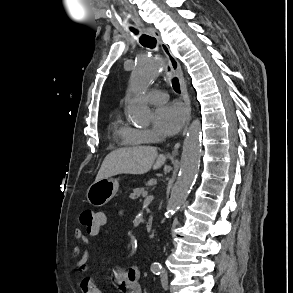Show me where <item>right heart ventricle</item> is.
Segmentation results:
<instances>
[{
    "label": "right heart ventricle",
    "mask_w": 293,
    "mask_h": 293,
    "mask_svg": "<svg viewBox=\"0 0 293 293\" xmlns=\"http://www.w3.org/2000/svg\"><path fill=\"white\" fill-rule=\"evenodd\" d=\"M115 132L116 135L120 137L126 145L135 146L142 143V141H140L137 137L134 136L131 128L121 126L118 124L115 126Z\"/></svg>",
    "instance_id": "obj_1"
}]
</instances>
